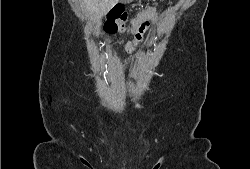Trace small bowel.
<instances>
[{"label": "small bowel", "instance_id": "1", "mask_svg": "<svg viewBox=\"0 0 250 169\" xmlns=\"http://www.w3.org/2000/svg\"><path fill=\"white\" fill-rule=\"evenodd\" d=\"M138 21H139V19H136V20H134V21L132 22V26H131V29H130L131 32H134V31L136 30L137 25H138ZM134 47H135V44H133V43L130 42V43H127V44H126L125 50H126V51H131V50L134 49Z\"/></svg>", "mask_w": 250, "mask_h": 169}]
</instances>
